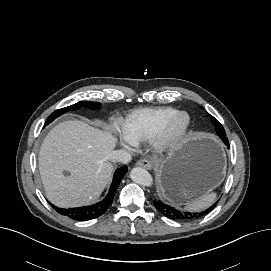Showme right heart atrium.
<instances>
[{
	"instance_id": "right-heart-atrium-1",
	"label": "right heart atrium",
	"mask_w": 271,
	"mask_h": 271,
	"mask_svg": "<svg viewBox=\"0 0 271 271\" xmlns=\"http://www.w3.org/2000/svg\"><path fill=\"white\" fill-rule=\"evenodd\" d=\"M116 140L122 145H126L128 143L126 140H123L121 138H117Z\"/></svg>"
}]
</instances>
